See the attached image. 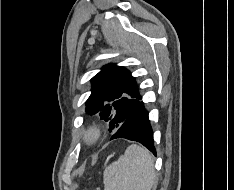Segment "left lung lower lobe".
Returning <instances> with one entry per match:
<instances>
[{
	"instance_id": "0a47b994",
	"label": "left lung lower lobe",
	"mask_w": 234,
	"mask_h": 190,
	"mask_svg": "<svg viewBox=\"0 0 234 190\" xmlns=\"http://www.w3.org/2000/svg\"><path fill=\"white\" fill-rule=\"evenodd\" d=\"M141 100V99H140ZM117 138H125L137 141L148 148L154 155L156 150L154 147L153 131L148 119V112L144 108L142 101H139L129 116L115 131L110 140Z\"/></svg>"
}]
</instances>
